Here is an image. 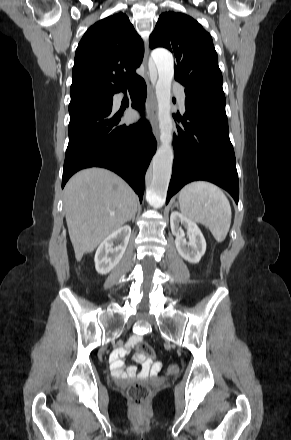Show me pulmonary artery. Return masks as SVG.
<instances>
[{"mask_svg":"<svg viewBox=\"0 0 291 440\" xmlns=\"http://www.w3.org/2000/svg\"><path fill=\"white\" fill-rule=\"evenodd\" d=\"M173 93L176 95V97L178 98L181 107L183 108V103H184V98H185V93H184V89L182 86L178 85V84H174L173 85Z\"/></svg>","mask_w":291,"mask_h":440,"instance_id":"pulmonary-artery-1","label":"pulmonary artery"}]
</instances>
